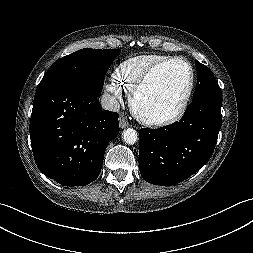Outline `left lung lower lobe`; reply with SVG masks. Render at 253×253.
<instances>
[{
  "label": "left lung lower lobe",
  "mask_w": 253,
  "mask_h": 253,
  "mask_svg": "<svg viewBox=\"0 0 253 253\" xmlns=\"http://www.w3.org/2000/svg\"><path fill=\"white\" fill-rule=\"evenodd\" d=\"M222 97L193 99L183 117L159 129H140L139 169L156 185H174L210 159L221 128Z\"/></svg>",
  "instance_id": "obj_1"
}]
</instances>
